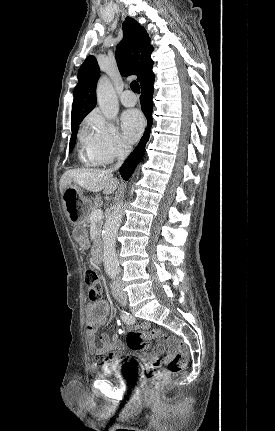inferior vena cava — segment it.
<instances>
[{
	"label": "inferior vena cava",
	"instance_id": "1",
	"mask_svg": "<svg viewBox=\"0 0 275 431\" xmlns=\"http://www.w3.org/2000/svg\"><path fill=\"white\" fill-rule=\"evenodd\" d=\"M130 152H131V147L123 144L119 150V153H118V162L111 169V171L118 169L123 164V162L125 161L126 157L129 155ZM111 289L113 292L119 291L121 289V285H120V282L118 279H116L112 282Z\"/></svg>",
	"mask_w": 275,
	"mask_h": 431
}]
</instances>
